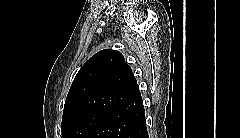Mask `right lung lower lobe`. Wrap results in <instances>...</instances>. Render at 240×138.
I'll return each mask as SVG.
<instances>
[{
  "label": "right lung lower lobe",
  "instance_id": "obj_1",
  "mask_svg": "<svg viewBox=\"0 0 240 138\" xmlns=\"http://www.w3.org/2000/svg\"><path fill=\"white\" fill-rule=\"evenodd\" d=\"M86 138H149L141 95L108 113Z\"/></svg>",
  "mask_w": 240,
  "mask_h": 138
}]
</instances>
